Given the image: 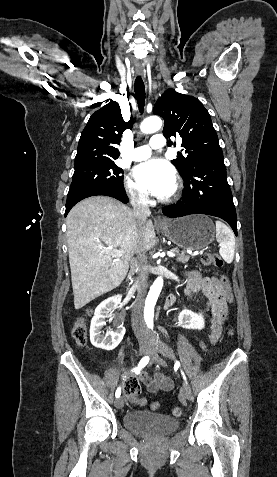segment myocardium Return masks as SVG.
<instances>
[{
  "instance_id": "1",
  "label": "myocardium",
  "mask_w": 277,
  "mask_h": 477,
  "mask_svg": "<svg viewBox=\"0 0 277 477\" xmlns=\"http://www.w3.org/2000/svg\"><path fill=\"white\" fill-rule=\"evenodd\" d=\"M178 193H179V186L176 187L174 196H177Z\"/></svg>"
}]
</instances>
